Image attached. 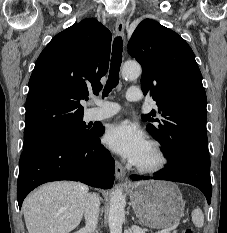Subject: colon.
<instances>
[{"label": "colon", "mask_w": 227, "mask_h": 233, "mask_svg": "<svg viewBox=\"0 0 227 233\" xmlns=\"http://www.w3.org/2000/svg\"><path fill=\"white\" fill-rule=\"evenodd\" d=\"M182 233H195L193 229L187 228L182 231Z\"/></svg>", "instance_id": "1"}]
</instances>
